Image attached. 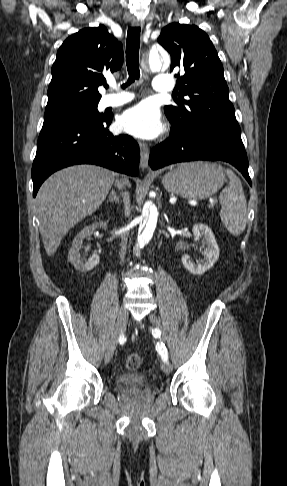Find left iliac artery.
Wrapping results in <instances>:
<instances>
[{"mask_svg": "<svg viewBox=\"0 0 287 486\" xmlns=\"http://www.w3.org/2000/svg\"><path fill=\"white\" fill-rule=\"evenodd\" d=\"M158 353L161 355L162 359L166 361L168 359V352L163 343H158L156 346Z\"/></svg>", "mask_w": 287, "mask_h": 486, "instance_id": "1", "label": "left iliac artery"}]
</instances>
